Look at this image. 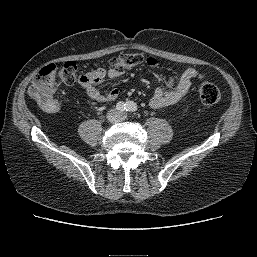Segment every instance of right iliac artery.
I'll return each instance as SVG.
<instances>
[{"label":"right iliac artery","instance_id":"right-iliac-artery-1","mask_svg":"<svg viewBox=\"0 0 257 257\" xmlns=\"http://www.w3.org/2000/svg\"><path fill=\"white\" fill-rule=\"evenodd\" d=\"M126 107V104L124 102H118L116 105L117 110L124 111Z\"/></svg>","mask_w":257,"mask_h":257}]
</instances>
